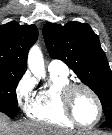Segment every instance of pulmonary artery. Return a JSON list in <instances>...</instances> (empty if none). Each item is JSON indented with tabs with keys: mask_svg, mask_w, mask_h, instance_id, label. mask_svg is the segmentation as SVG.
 <instances>
[{
	"mask_svg": "<svg viewBox=\"0 0 112 135\" xmlns=\"http://www.w3.org/2000/svg\"><path fill=\"white\" fill-rule=\"evenodd\" d=\"M48 70L51 73H57L62 75H68V67L61 61L53 60L48 65Z\"/></svg>",
	"mask_w": 112,
	"mask_h": 135,
	"instance_id": "e3ab8cb5",
	"label": "pulmonary artery"
}]
</instances>
